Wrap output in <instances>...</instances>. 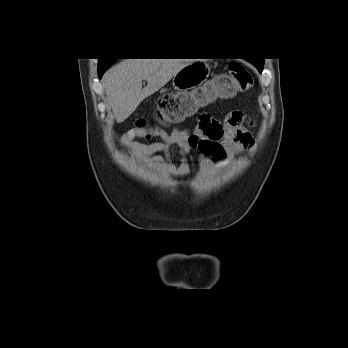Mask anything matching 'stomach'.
<instances>
[{"label":"stomach","mask_w":348,"mask_h":348,"mask_svg":"<svg viewBox=\"0 0 348 348\" xmlns=\"http://www.w3.org/2000/svg\"><path fill=\"white\" fill-rule=\"evenodd\" d=\"M209 74L210 67L206 62L194 61L174 75L172 85L184 97L185 116L195 114L200 107H205L210 102L209 98L189 91L201 86L207 80Z\"/></svg>","instance_id":"stomach-1"}]
</instances>
